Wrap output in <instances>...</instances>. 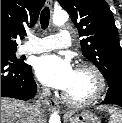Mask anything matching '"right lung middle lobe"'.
I'll return each instance as SVG.
<instances>
[{
  "instance_id": "right-lung-middle-lobe-1",
  "label": "right lung middle lobe",
  "mask_w": 122,
  "mask_h": 123,
  "mask_svg": "<svg viewBox=\"0 0 122 123\" xmlns=\"http://www.w3.org/2000/svg\"><path fill=\"white\" fill-rule=\"evenodd\" d=\"M16 51L17 49H1V56H4L14 62H20L21 60H18L16 57Z\"/></svg>"
}]
</instances>
